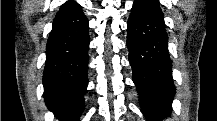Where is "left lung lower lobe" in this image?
<instances>
[{
	"mask_svg": "<svg viewBox=\"0 0 217 121\" xmlns=\"http://www.w3.org/2000/svg\"><path fill=\"white\" fill-rule=\"evenodd\" d=\"M127 31L129 62L141 112L148 121H160L170 115L175 86L158 0H135Z\"/></svg>",
	"mask_w": 217,
	"mask_h": 121,
	"instance_id": "0a47b994",
	"label": "left lung lower lobe"
}]
</instances>
